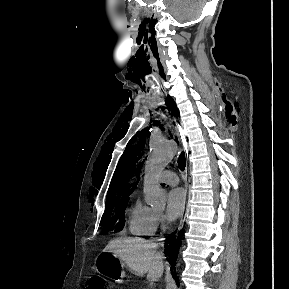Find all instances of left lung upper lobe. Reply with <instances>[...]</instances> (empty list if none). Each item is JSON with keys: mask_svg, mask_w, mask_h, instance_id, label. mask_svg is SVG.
Here are the masks:
<instances>
[{"mask_svg": "<svg viewBox=\"0 0 289 289\" xmlns=\"http://www.w3.org/2000/svg\"><path fill=\"white\" fill-rule=\"evenodd\" d=\"M124 156H126V155H123V159H124ZM130 158V157H129ZM122 160V159H121ZM128 160V159H127ZM127 163V162H126ZM123 165V164H122ZM131 171H133V169L131 168ZM132 174V173H131ZM120 183H118V188L120 187ZM130 185H126L125 186V189H124V191H123V193H125L126 191H127V189H128V187H129ZM135 188V186L131 189V190H129L125 195H124V197L126 196V195H130L131 194V192L133 191V189ZM112 191V188H110V190H109V192H108V195H107V200L108 201H112L113 200V198H112V196H114V194L112 195L111 192ZM124 197L122 198V200L121 201H117V203H116V205L117 204H119L120 205V203H122L123 201H124ZM119 207V206H118Z\"/></svg>", "mask_w": 289, "mask_h": 289, "instance_id": "left-lung-upper-lobe-1", "label": "left lung upper lobe"}]
</instances>
